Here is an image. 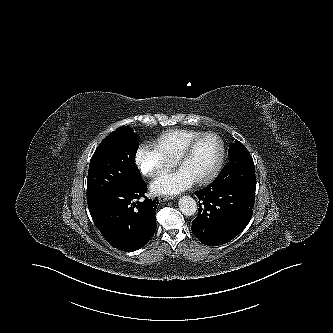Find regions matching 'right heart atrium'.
<instances>
[{
  "mask_svg": "<svg viewBox=\"0 0 333 333\" xmlns=\"http://www.w3.org/2000/svg\"><path fill=\"white\" fill-rule=\"evenodd\" d=\"M135 164L141 174L149 178H157L169 171L174 162L160 155L149 146H140L135 153Z\"/></svg>",
  "mask_w": 333,
  "mask_h": 333,
  "instance_id": "1",
  "label": "right heart atrium"
}]
</instances>
